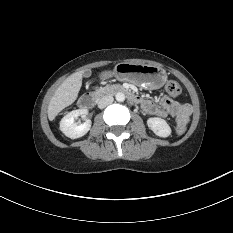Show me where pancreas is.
<instances>
[{
  "label": "pancreas",
  "instance_id": "cf45deb5",
  "mask_svg": "<svg viewBox=\"0 0 233 233\" xmlns=\"http://www.w3.org/2000/svg\"><path fill=\"white\" fill-rule=\"evenodd\" d=\"M95 93L98 94V95H102V94L105 93V88L97 89Z\"/></svg>",
  "mask_w": 233,
  "mask_h": 233
}]
</instances>
